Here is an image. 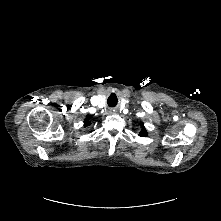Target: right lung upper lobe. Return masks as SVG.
<instances>
[{
  "label": "right lung upper lobe",
  "mask_w": 221,
  "mask_h": 221,
  "mask_svg": "<svg viewBox=\"0 0 221 221\" xmlns=\"http://www.w3.org/2000/svg\"><path fill=\"white\" fill-rule=\"evenodd\" d=\"M90 116L89 115H87V117H86V119H85V121H84V127H87V126H89L90 125Z\"/></svg>",
  "instance_id": "cb5924a9"
}]
</instances>
